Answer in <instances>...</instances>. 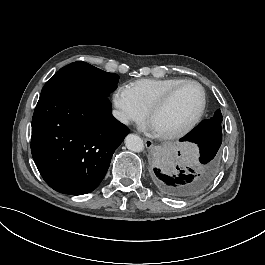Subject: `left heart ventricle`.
<instances>
[{
	"label": "left heart ventricle",
	"mask_w": 265,
	"mask_h": 265,
	"mask_svg": "<svg viewBox=\"0 0 265 265\" xmlns=\"http://www.w3.org/2000/svg\"><path fill=\"white\" fill-rule=\"evenodd\" d=\"M202 94L195 84L180 88L173 99L152 118L150 126L157 134H165L184 127L200 108Z\"/></svg>",
	"instance_id": "1"
}]
</instances>
